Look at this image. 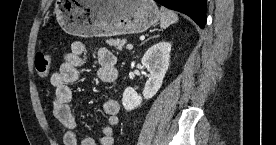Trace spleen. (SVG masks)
<instances>
[{"instance_id": "obj_1", "label": "spleen", "mask_w": 276, "mask_h": 145, "mask_svg": "<svg viewBox=\"0 0 276 145\" xmlns=\"http://www.w3.org/2000/svg\"><path fill=\"white\" fill-rule=\"evenodd\" d=\"M178 21V16L173 11L161 7L160 9V27L162 29H166L171 24L176 23Z\"/></svg>"}]
</instances>
